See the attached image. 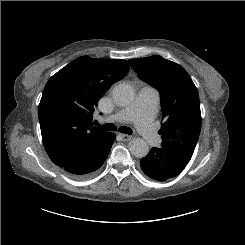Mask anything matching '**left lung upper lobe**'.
<instances>
[{
    "label": "left lung upper lobe",
    "instance_id": "1",
    "mask_svg": "<svg viewBox=\"0 0 245 245\" xmlns=\"http://www.w3.org/2000/svg\"><path fill=\"white\" fill-rule=\"evenodd\" d=\"M133 70L160 92L161 147L189 163L201 130L198 91L179 64L154 55L129 60Z\"/></svg>",
    "mask_w": 245,
    "mask_h": 245
}]
</instances>
